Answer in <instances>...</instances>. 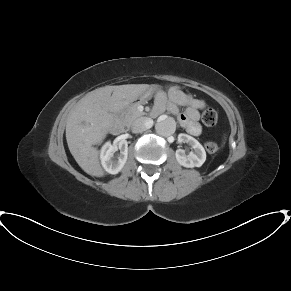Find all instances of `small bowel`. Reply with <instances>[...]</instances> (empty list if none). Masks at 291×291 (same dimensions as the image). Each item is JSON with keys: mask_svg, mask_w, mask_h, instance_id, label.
<instances>
[{"mask_svg": "<svg viewBox=\"0 0 291 291\" xmlns=\"http://www.w3.org/2000/svg\"><path fill=\"white\" fill-rule=\"evenodd\" d=\"M205 105L203 100L193 98L180 89L173 88L167 94L161 93L157 95L154 111L156 114L168 111L178 118L180 124L188 134L199 136L202 132V127L198 123L199 111L202 110ZM180 106L187 107L185 113L179 111Z\"/></svg>", "mask_w": 291, "mask_h": 291, "instance_id": "small-bowel-1", "label": "small bowel"}]
</instances>
